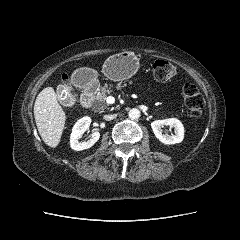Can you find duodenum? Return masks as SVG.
Segmentation results:
<instances>
[{
  "label": "duodenum",
  "mask_w": 240,
  "mask_h": 240,
  "mask_svg": "<svg viewBox=\"0 0 240 240\" xmlns=\"http://www.w3.org/2000/svg\"><path fill=\"white\" fill-rule=\"evenodd\" d=\"M83 93L81 96V105L85 108L89 107L93 95L97 89V83L84 79L82 83Z\"/></svg>",
  "instance_id": "410a0bca"
}]
</instances>
